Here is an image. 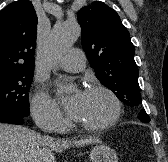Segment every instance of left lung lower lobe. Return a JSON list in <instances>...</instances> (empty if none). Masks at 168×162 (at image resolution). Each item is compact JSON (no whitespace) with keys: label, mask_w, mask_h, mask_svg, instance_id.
<instances>
[{"label":"left lung lower lobe","mask_w":168,"mask_h":162,"mask_svg":"<svg viewBox=\"0 0 168 162\" xmlns=\"http://www.w3.org/2000/svg\"><path fill=\"white\" fill-rule=\"evenodd\" d=\"M139 120L142 121V122H145V123H149L150 118H149V119H147V118H142V119H139Z\"/></svg>","instance_id":"left-lung-lower-lobe-1"}]
</instances>
